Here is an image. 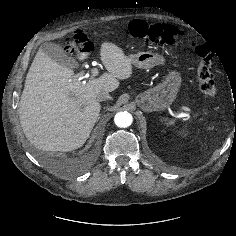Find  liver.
I'll list each match as a JSON object with an SVG mask.
<instances>
[{"label": "liver", "mask_w": 236, "mask_h": 236, "mask_svg": "<svg viewBox=\"0 0 236 236\" xmlns=\"http://www.w3.org/2000/svg\"><path fill=\"white\" fill-rule=\"evenodd\" d=\"M89 54L80 53V61ZM101 61L108 73L80 82L74 71L38 50L25 80L19 105L20 124L26 138L46 151H72L88 139L101 109L100 92H112L119 80L129 79L133 63L123 49L103 42Z\"/></svg>", "instance_id": "6515ba94"}]
</instances>
